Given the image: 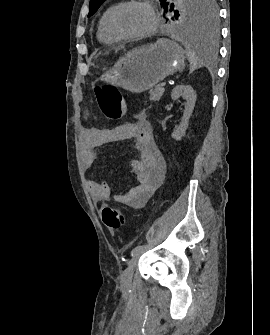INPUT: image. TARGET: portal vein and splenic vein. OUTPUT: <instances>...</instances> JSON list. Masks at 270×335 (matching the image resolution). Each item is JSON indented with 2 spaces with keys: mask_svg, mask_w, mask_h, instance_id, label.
Instances as JSON below:
<instances>
[{
  "mask_svg": "<svg viewBox=\"0 0 270 335\" xmlns=\"http://www.w3.org/2000/svg\"><path fill=\"white\" fill-rule=\"evenodd\" d=\"M161 83H162L161 85H162L163 87L166 86V81L163 80Z\"/></svg>",
  "mask_w": 270,
  "mask_h": 335,
  "instance_id": "1",
  "label": "portal vein and splenic vein"
}]
</instances>
